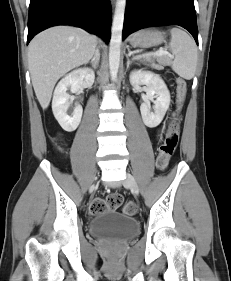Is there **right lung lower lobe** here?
I'll return each instance as SVG.
<instances>
[{
	"label": "right lung lower lobe",
	"mask_w": 231,
	"mask_h": 281,
	"mask_svg": "<svg viewBox=\"0 0 231 281\" xmlns=\"http://www.w3.org/2000/svg\"><path fill=\"white\" fill-rule=\"evenodd\" d=\"M110 0H30L27 44L40 31L71 25L110 40Z\"/></svg>",
	"instance_id": "1"
}]
</instances>
